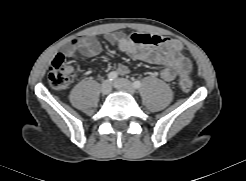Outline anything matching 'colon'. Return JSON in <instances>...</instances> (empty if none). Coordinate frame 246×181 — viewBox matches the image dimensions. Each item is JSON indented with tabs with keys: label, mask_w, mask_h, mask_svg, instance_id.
Wrapping results in <instances>:
<instances>
[{
	"label": "colon",
	"mask_w": 246,
	"mask_h": 181,
	"mask_svg": "<svg viewBox=\"0 0 246 181\" xmlns=\"http://www.w3.org/2000/svg\"><path fill=\"white\" fill-rule=\"evenodd\" d=\"M139 41L144 44L155 45L160 42V37L156 35L141 36ZM72 70V66L66 57L62 54H57L51 63L47 75L48 83L56 89L67 88L71 83ZM178 85L184 92L191 90L193 81L189 70H185L180 73Z\"/></svg>",
	"instance_id": "5ec220e1"
}]
</instances>
